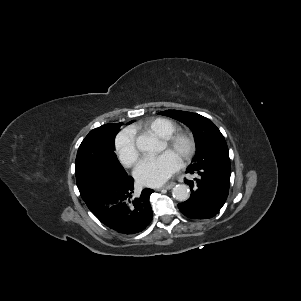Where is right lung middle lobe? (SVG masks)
<instances>
[{
  "label": "right lung middle lobe",
  "instance_id": "1",
  "mask_svg": "<svg viewBox=\"0 0 301 301\" xmlns=\"http://www.w3.org/2000/svg\"><path fill=\"white\" fill-rule=\"evenodd\" d=\"M121 125L119 123L114 130L96 128L80 144L75 162L76 182L80 193H85L90 182L103 175H126L114 153V140Z\"/></svg>",
  "mask_w": 301,
  "mask_h": 301
}]
</instances>
